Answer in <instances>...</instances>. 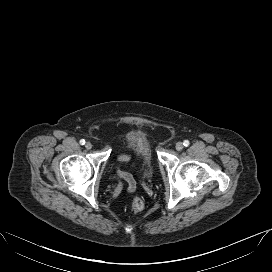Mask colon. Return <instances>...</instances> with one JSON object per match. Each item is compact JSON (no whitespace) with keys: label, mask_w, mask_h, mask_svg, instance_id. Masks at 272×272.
Here are the masks:
<instances>
[{"label":"colon","mask_w":272,"mask_h":272,"mask_svg":"<svg viewBox=\"0 0 272 272\" xmlns=\"http://www.w3.org/2000/svg\"><path fill=\"white\" fill-rule=\"evenodd\" d=\"M130 207L133 212L135 213L140 212L144 208V202L141 198L135 197L132 199Z\"/></svg>","instance_id":"obj_1"}]
</instances>
